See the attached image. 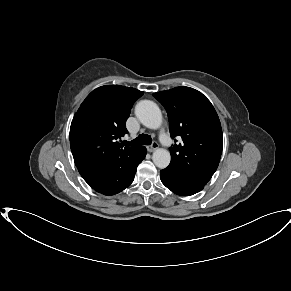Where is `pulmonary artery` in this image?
<instances>
[{
	"label": "pulmonary artery",
	"mask_w": 291,
	"mask_h": 291,
	"mask_svg": "<svg viewBox=\"0 0 291 291\" xmlns=\"http://www.w3.org/2000/svg\"><path fill=\"white\" fill-rule=\"evenodd\" d=\"M159 139L161 141V143L165 146V147H170L173 145L172 141L170 140L169 136L165 133V132H161L159 135Z\"/></svg>",
	"instance_id": "pulmonary-artery-1"
}]
</instances>
